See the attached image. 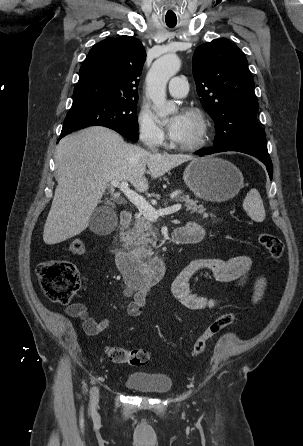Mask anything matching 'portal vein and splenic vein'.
Listing matches in <instances>:
<instances>
[{"instance_id": "portal-vein-and-splenic-vein-1", "label": "portal vein and splenic vein", "mask_w": 303, "mask_h": 446, "mask_svg": "<svg viewBox=\"0 0 303 446\" xmlns=\"http://www.w3.org/2000/svg\"><path fill=\"white\" fill-rule=\"evenodd\" d=\"M111 185L119 188L120 191L128 198V200L136 206L139 212L148 220L156 221L159 216L175 213L181 209V204H175L170 207L156 210L149 202H147L142 196L131 190L128 186V182H111Z\"/></svg>"}]
</instances>
